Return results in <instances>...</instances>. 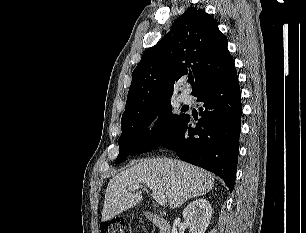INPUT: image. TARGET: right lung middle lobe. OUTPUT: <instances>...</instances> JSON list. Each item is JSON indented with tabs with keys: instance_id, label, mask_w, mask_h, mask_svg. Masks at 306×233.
<instances>
[{
	"instance_id": "right-lung-middle-lobe-1",
	"label": "right lung middle lobe",
	"mask_w": 306,
	"mask_h": 233,
	"mask_svg": "<svg viewBox=\"0 0 306 233\" xmlns=\"http://www.w3.org/2000/svg\"><path fill=\"white\" fill-rule=\"evenodd\" d=\"M186 115L174 114L169 99L122 116L119 155L115 163L123 162L130 154H141L158 147L177 131ZM156 117L155 126L149 131L148 126Z\"/></svg>"
}]
</instances>
